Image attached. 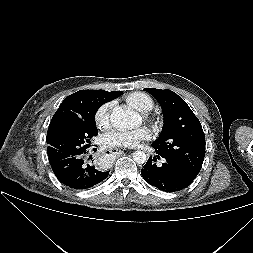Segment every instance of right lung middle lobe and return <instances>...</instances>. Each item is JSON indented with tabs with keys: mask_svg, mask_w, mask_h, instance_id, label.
Segmentation results:
<instances>
[{
	"mask_svg": "<svg viewBox=\"0 0 253 253\" xmlns=\"http://www.w3.org/2000/svg\"><path fill=\"white\" fill-rule=\"evenodd\" d=\"M101 105V102L91 100L80 118L59 125L56 130L46 138L49 158L61 159L86 151L93 137L98 134L95 123V113Z\"/></svg>",
	"mask_w": 253,
	"mask_h": 253,
	"instance_id": "dd1d6c3e",
	"label": "right lung middle lobe"
}]
</instances>
